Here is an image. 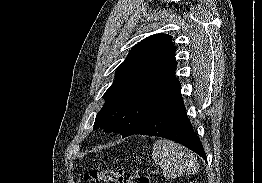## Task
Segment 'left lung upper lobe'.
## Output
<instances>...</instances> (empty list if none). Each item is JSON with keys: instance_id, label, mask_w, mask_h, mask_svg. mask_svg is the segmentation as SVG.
Masks as SVG:
<instances>
[{"instance_id": "obj_1", "label": "left lung upper lobe", "mask_w": 262, "mask_h": 183, "mask_svg": "<svg viewBox=\"0 0 262 183\" xmlns=\"http://www.w3.org/2000/svg\"><path fill=\"white\" fill-rule=\"evenodd\" d=\"M175 51L171 36L166 34L152 35L135 45L118 66L93 129L119 132L124 138L143 128L180 88Z\"/></svg>"}]
</instances>
